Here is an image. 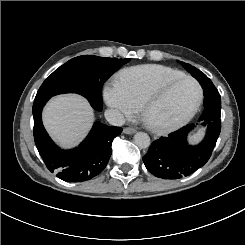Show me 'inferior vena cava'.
Here are the masks:
<instances>
[{"instance_id":"inferior-vena-cava-1","label":"inferior vena cava","mask_w":245,"mask_h":245,"mask_svg":"<svg viewBox=\"0 0 245 245\" xmlns=\"http://www.w3.org/2000/svg\"><path fill=\"white\" fill-rule=\"evenodd\" d=\"M104 116L111 125L122 126L125 123L124 116L118 110L107 109Z\"/></svg>"}]
</instances>
